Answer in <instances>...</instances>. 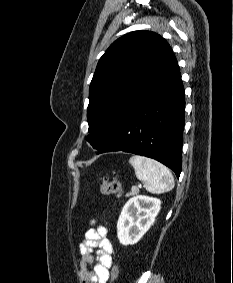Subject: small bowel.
Here are the masks:
<instances>
[{"label": "small bowel", "mask_w": 233, "mask_h": 283, "mask_svg": "<svg viewBox=\"0 0 233 283\" xmlns=\"http://www.w3.org/2000/svg\"><path fill=\"white\" fill-rule=\"evenodd\" d=\"M95 224L96 221L92 219V227L86 232L85 239L79 246L81 259L78 273L83 283H107L113 264L114 250L106 236V228ZM94 252L97 254L96 257Z\"/></svg>", "instance_id": "c3829d8e"}]
</instances>
